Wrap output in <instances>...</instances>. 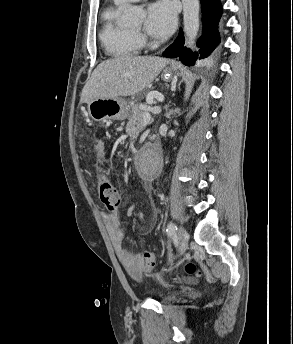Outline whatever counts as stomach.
Returning a JSON list of instances; mask_svg holds the SVG:
<instances>
[{
	"label": "stomach",
	"mask_w": 293,
	"mask_h": 344,
	"mask_svg": "<svg viewBox=\"0 0 293 344\" xmlns=\"http://www.w3.org/2000/svg\"><path fill=\"white\" fill-rule=\"evenodd\" d=\"M164 80L173 78L171 70H165L162 74ZM90 117L96 122L110 120H124L129 116V108L122 98H99L88 103Z\"/></svg>",
	"instance_id": "stomach-1"
}]
</instances>
